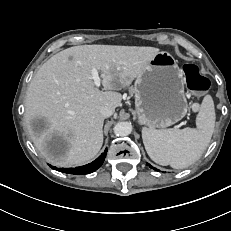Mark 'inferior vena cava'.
Here are the masks:
<instances>
[{
  "mask_svg": "<svg viewBox=\"0 0 231 231\" xmlns=\"http://www.w3.org/2000/svg\"><path fill=\"white\" fill-rule=\"evenodd\" d=\"M114 110L109 107V106H103L101 109H100V113L102 115L103 118H108L110 117L112 114H113Z\"/></svg>",
  "mask_w": 231,
  "mask_h": 231,
  "instance_id": "602c4592",
  "label": "inferior vena cava"
}]
</instances>
